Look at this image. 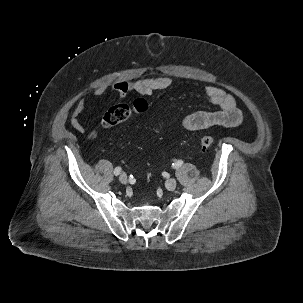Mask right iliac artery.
I'll use <instances>...</instances> for the list:
<instances>
[{"label":"right iliac artery","instance_id":"right-iliac-artery-1","mask_svg":"<svg viewBox=\"0 0 303 303\" xmlns=\"http://www.w3.org/2000/svg\"><path fill=\"white\" fill-rule=\"evenodd\" d=\"M120 172H121V167H116L115 169H114V175H119L120 174Z\"/></svg>","mask_w":303,"mask_h":303}]
</instances>
